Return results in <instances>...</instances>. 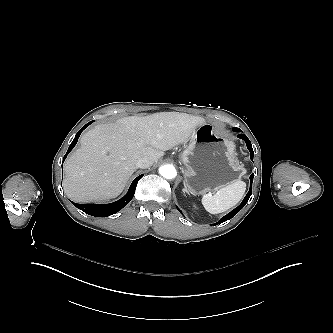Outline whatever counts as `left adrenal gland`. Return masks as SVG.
Returning a JSON list of instances; mask_svg holds the SVG:
<instances>
[{
    "label": "left adrenal gland",
    "mask_w": 333,
    "mask_h": 333,
    "mask_svg": "<svg viewBox=\"0 0 333 333\" xmlns=\"http://www.w3.org/2000/svg\"><path fill=\"white\" fill-rule=\"evenodd\" d=\"M184 187L186 188V185L184 184ZM183 192L185 193V194H188V192L184 189L183 190Z\"/></svg>",
    "instance_id": "a2214340"
}]
</instances>
